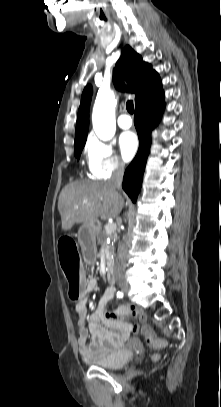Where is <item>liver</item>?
Returning a JSON list of instances; mask_svg holds the SVG:
<instances>
[{"mask_svg": "<svg viewBox=\"0 0 221 407\" xmlns=\"http://www.w3.org/2000/svg\"><path fill=\"white\" fill-rule=\"evenodd\" d=\"M123 204L122 197L107 182L70 183L62 189L58 200L62 230H70L74 224L94 223L98 217L115 218Z\"/></svg>", "mask_w": 221, "mask_h": 407, "instance_id": "obj_1", "label": "liver"}]
</instances>
